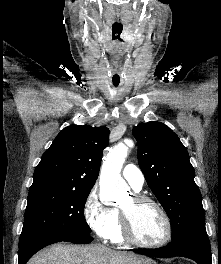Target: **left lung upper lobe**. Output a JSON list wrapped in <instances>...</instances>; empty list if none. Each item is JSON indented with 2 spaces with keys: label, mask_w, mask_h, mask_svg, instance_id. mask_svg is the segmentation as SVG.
<instances>
[{
  "label": "left lung upper lobe",
  "mask_w": 221,
  "mask_h": 264,
  "mask_svg": "<svg viewBox=\"0 0 221 264\" xmlns=\"http://www.w3.org/2000/svg\"><path fill=\"white\" fill-rule=\"evenodd\" d=\"M132 132L138 143L139 166L171 220L172 240L184 235L207 234L194 168L178 136L156 121L141 123Z\"/></svg>",
  "instance_id": "obj_1"
}]
</instances>
